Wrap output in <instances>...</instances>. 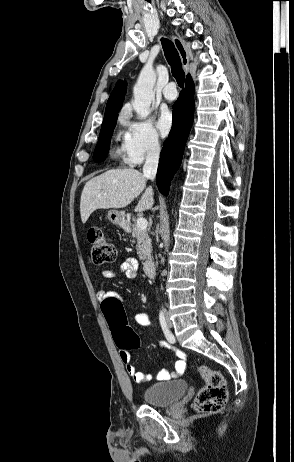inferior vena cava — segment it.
<instances>
[{
  "label": "inferior vena cava",
  "instance_id": "1",
  "mask_svg": "<svg viewBox=\"0 0 294 462\" xmlns=\"http://www.w3.org/2000/svg\"><path fill=\"white\" fill-rule=\"evenodd\" d=\"M160 155V145L157 141L150 144L146 155V161L143 166V174L146 178L154 181L158 168ZM165 312L166 310L163 309Z\"/></svg>",
  "mask_w": 294,
  "mask_h": 462
}]
</instances>
